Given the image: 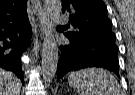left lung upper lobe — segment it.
Instances as JSON below:
<instances>
[{"mask_svg": "<svg viewBox=\"0 0 135 95\" xmlns=\"http://www.w3.org/2000/svg\"><path fill=\"white\" fill-rule=\"evenodd\" d=\"M63 12L70 14L71 25L76 29L67 32L70 37L108 36L115 38L107 17L103 0H62Z\"/></svg>", "mask_w": 135, "mask_h": 95, "instance_id": "left-lung-upper-lobe-1", "label": "left lung upper lobe"}]
</instances>
